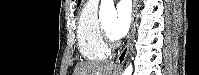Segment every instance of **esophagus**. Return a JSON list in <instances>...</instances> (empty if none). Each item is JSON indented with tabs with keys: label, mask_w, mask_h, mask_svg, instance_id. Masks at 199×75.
<instances>
[{
	"label": "esophagus",
	"mask_w": 199,
	"mask_h": 75,
	"mask_svg": "<svg viewBox=\"0 0 199 75\" xmlns=\"http://www.w3.org/2000/svg\"><path fill=\"white\" fill-rule=\"evenodd\" d=\"M136 24H137V0H133L131 30H130L126 45L124 46L123 50L118 54V56L116 58L115 64L117 66H123V64L126 60V57H127L130 45H131L132 38H133L135 30H136Z\"/></svg>",
	"instance_id": "1"
}]
</instances>
